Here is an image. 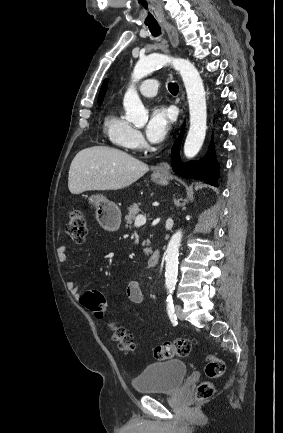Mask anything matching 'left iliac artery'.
<instances>
[{"mask_svg": "<svg viewBox=\"0 0 283 433\" xmlns=\"http://www.w3.org/2000/svg\"><path fill=\"white\" fill-rule=\"evenodd\" d=\"M172 290L173 289L169 290L170 294L168 295L167 300H166L167 301V312H168V315H169L171 322L177 323L176 322L177 316L174 314V304H173V299H172V295H171Z\"/></svg>", "mask_w": 283, "mask_h": 433, "instance_id": "1", "label": "left iliac artery"}]
</instances>
